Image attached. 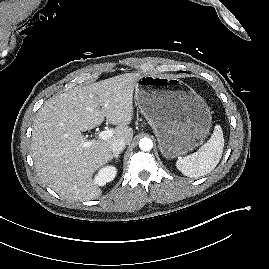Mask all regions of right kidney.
Listing matches in <instances>:
<instances>
[{
	"label": "right kidney",
	"mask_w": 269,
	"mask_h": 269,
	"mask_svg": "<svg viewBox=\"0 0 269 269\" xmlns=\"http://www.w3.org/2000/svg\"><path fill=\"white\" fill-rule=\"evenodd\" d=\"M117 174V169L114 166H106L99 170L94 179L95 185L104 186L106 183L112 181Z\"/></svg>",
	"instance_id": "ca27d5eb"
}]
</instances>
